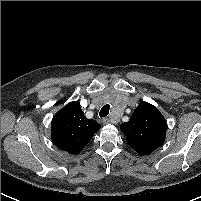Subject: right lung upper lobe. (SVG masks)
<instances>
[{"mask_svg": "<svg viewBox=\"0 0 201 201\" xmlns=\"http://www.w3.org/2000/svg\"><path fill=\"white\" fill-rule=\"evenodd\" d=\"M100 127L97 122L84 116L78 102H70L52 119V141L58 148L77 154Z\"/></svg>", "mask_w": 201, "mask_h": 201, "instance_id": "1", "label": "right lung upper lobe"}]
</instances>
